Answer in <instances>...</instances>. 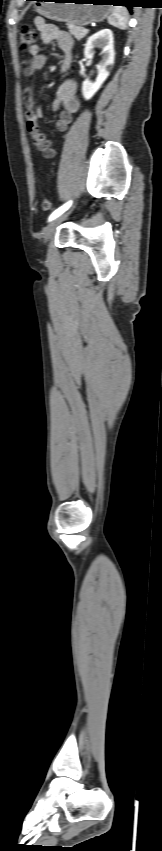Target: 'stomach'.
Instances as JSON below:
<instances>
[{"label":"stomach","mask_w":162,"mask_h":851,"mask_svg":"<svg viewBox=\"0 0 162 851\" xmlns=\"http://www.w3.org/2000/svg\"><path fill=\"white\" fill-rule=\"evenodd\" d=\"M36 11L54 21L84 26L101 22L111 13V6L103 5L104 0H38Z\"/></svg>","instance_id":"stomach-1"}]
</instances>
